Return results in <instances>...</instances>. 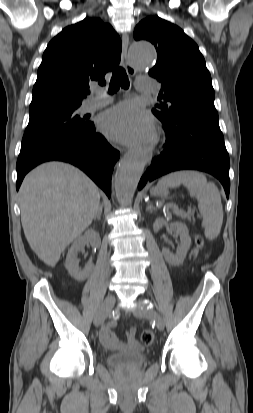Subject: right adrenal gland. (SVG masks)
Listing matches in <instances>:
<instances>
[{"label": "right adrenal gland", "mask_w": 253, "mask_h": 413, "mask_svg": "<svg viewBox=\"0 0 253 413\" xmlns=\"http://www.w3.org/2000/svg\"><path fill=\"white\" fill-rule=\"evenodd\" d=\"M101 214H102V205L99 206L98 211H97V214H96V216L94 217V221H95L96 219H97V220H100Z\"/></svg>", "instance_id": "right-adrenal-gland-1"}]
</instances>
